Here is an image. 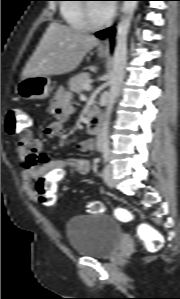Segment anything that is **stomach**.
<instances>
[{
	"mask_svg": "<svg viewBox=\"0 0 180 299\" xmlns=\"http://www.w3.org/2000/svg\"><path fill=\"white\" fill-rule=\"evenodd\" d=\"M51 91V81L48 76H28L22 78L16 86L18 96L24 100H43L49 97Z\"/></svg>",
	"mask_w": 180,
	"mask_h": 299,
	"instance_id": "stomach-1",
	"label": "stomach"
}]
</instances>
